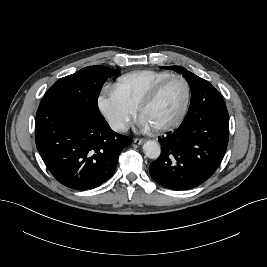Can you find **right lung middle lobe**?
Instances as JSON below:
<instances>
[{"mask_svg": "<svg viewBox=\"0 0 267 267\" xmlns=\"http://www.w3.org/2000/svg\"><path fill=\"white\" fill-rule=\"evenodd\" d=\"M118 70L104 66H89L59 79L44 95V99H53L68 103L93 114H100L98 97L107 78L118 74Z\"/></svg>", "mask_w": 267, "mask_h": 267, "instance_id": "obj_1", "label": "right lung middle lobe"}]
</instances>
